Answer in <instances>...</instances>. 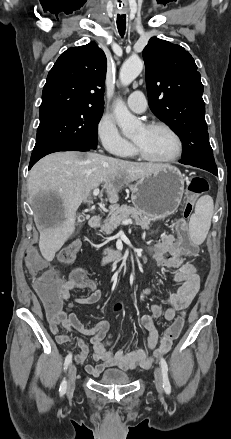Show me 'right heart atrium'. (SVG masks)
<instances>
[{
  "label": "right heart atrium",
  "mask_w": 231,
  "mask_h": 439,
  "mask_svg": "<svg viewBox=\"0 0 231 439\" xmlns=\"http://www.w3.org/2000/svg\"><path fill=\"white\" fill-rule=\"evenodd\" d=\"M96 134L104 149L113 155L125 156L132 150L130 142L121 134L110 115L104 114L99 119Z\"/></svg>",
  "instance_id": "1"
}]
</instances>
